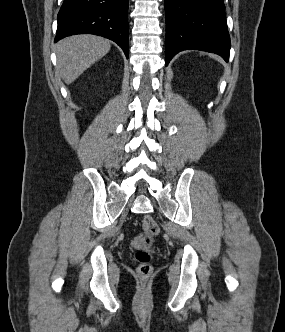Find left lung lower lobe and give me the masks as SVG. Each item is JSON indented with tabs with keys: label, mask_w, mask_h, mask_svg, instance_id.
<instances>
[{
	"label": "left lung lower lobe",
	"mask_w": 285,
	"mask_h": 332,
	"mask_svg": "<svg viewBox=\"0 0 285 332\" xmlns=\"http://www.w3.org/2000/svg\"><path fill=\"white\" fill-rule=\"evenodd\" d=\"M166 65L186 49L220 55L228 61L230 37L223 0H165Z\"/></svg>",
	"instance_id": "0a47b994"
}]
</instances>
